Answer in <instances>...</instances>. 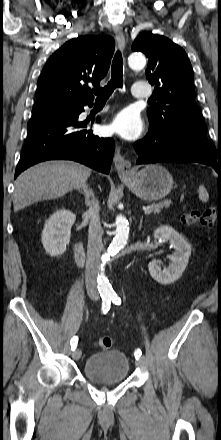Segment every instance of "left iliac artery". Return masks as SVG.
Returning a JSON list of instances; mask_svg holds the SVG:
<instances>
[{
	"label": "left iliac artery",
	"mask_w": 221,
	"mask_h": 440,
	"mask_svg": "<svg viewBox=\"0 0 221 440\" xmlns=\"http://www.w3.org/2000/svg\"><path fill=\"white\" fill-rule=\"evenodd\" d=\"M110 298L115 305L121 304V299H120V297L117 296V294L110 296ZM141 355H142V352L140 349H138L134 352V356H135L136 360H138L141 357Z\"/></svg>",
	"instance_id": "44dca946"
}]
</instances>
